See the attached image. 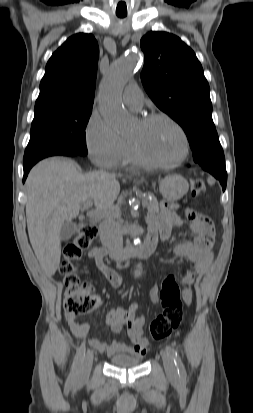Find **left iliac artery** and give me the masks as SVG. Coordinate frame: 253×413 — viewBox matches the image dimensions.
Here are the masks:
<instances>
[{
	"instance_id": "1",
	"label": "left iliac artery",
	"mask_w": 253,
	"mask_h": 413,
	"mask_svg": "<svg viewBox=\"0 0 253 413\" xmlns=\"http://www.w3.org/2000/svg\"><path fill=\"white\" fill-rule=\"evenodd\" d=\"M167 352L168 354L172 357V359L174 360L175 366L177 367L178 370V375L181 379H186V370L184 367V364L179 356V354L177 353L176 349L173 348L172 346H168L167 347Z\"/></svg>"
}]
</instances>
